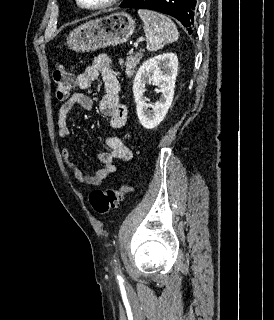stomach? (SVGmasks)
I'll use <instances>...</instances> for the list:
<instances>
[{"label": "stomach", "mask_w": 274, "mask_h": 320, "mask_svg": "<svg viewBox=\"0 0 274 320\" xmlns=\"http://www.w3.org/2000/svg\"><path fill=\"white\" fill-rule=\"evenodd\" d=\"M135 28V20L129 14L117 12L78 26L70 32L66 44L73 52H95L99 48L128 42Z\"/></svg>", "instance_id": "1"}]
</instances>
